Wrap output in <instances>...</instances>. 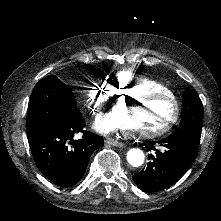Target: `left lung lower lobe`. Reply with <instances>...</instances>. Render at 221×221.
I'll return each instance as SVG.
<instances>
[{
  "label": "left lung lower lobe",
  "instance_id": "0a47b994",
  "mask_svg": "<svg viewBox=\"0 0 221 221\" xmlns=\"http://www.w3.org/2000/svg\"><path fill=\"white\" fill-rule=\"evenodd\" d=\"M200 137L180 128L165 139L143 143L148 151H156V156L150 155L151 162L133 176L136 185L144 192L153 193L175 184L194 162ZM156 143L165 150H156Z\"/></svg>",
  "mask_w": 221,
  "mask_h": 221
}]
</instances>
